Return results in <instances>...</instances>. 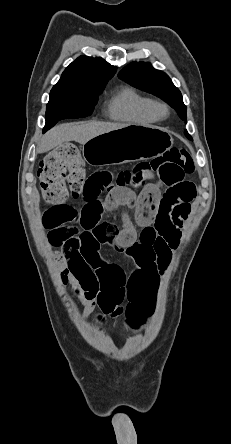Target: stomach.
<instances>
[{
  "instance_id": "0dacf381",
  "label": "stomach",
  "mask_w": 231,
  "mask_h": 444,
  "mask_svg": "<svg viewBox=\"0 0 231 444\" xmlns=\"http://www.w3.org/2000/svg\"><path fill=\"white\" fill-rule=\"evenodd\" d=\"M173 138L164 128L133 124L98 135L83 145L84 161L90 165L122 164L161 156Z\"/></svg>"
}]
</instances>
